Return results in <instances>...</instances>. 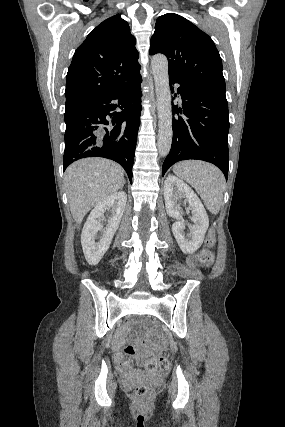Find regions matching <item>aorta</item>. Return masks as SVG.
Returning a JSON list of instances; mask_svg holds the SVG:
<instances>
[{
  "label": "aorta",
  "mask_w": 285,
  "mask_h": 427,
  "mask_svg": "<svg viewBox=\"0 0 285 427\" xmlns=\"http://www.w3.org/2000/svg\"><path fill=\"white\" fill-rule=\"evenodd\" d=\"M152 73L155 82L158 110V142L159 155L169 154L172 144V107L169 86L168 60L162 54H157L151 60Z\"/></svg>",
  "instance_id": "obj_1"
}]
</instances>
